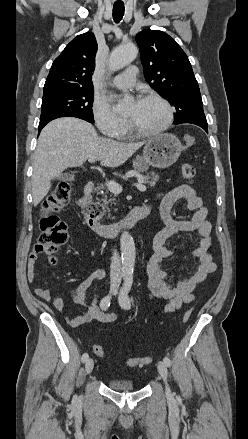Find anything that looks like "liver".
<instances>
[{"mask_svg": "<svg viewBox=\"0 0 248 439\" xmlns=\"http://www.w3.org/2000/svg\"><path fill=\"white\" fill-rule=\"evenodd\" d=\"M144 142H118L99 137L88 122L62 117L41 131L33 156L32 197L37 206L51 189V180L69 167H79L90 158L106 167H118Z\"/></svg>", "mask_w": 248, "mask_h": 439, "instance_id": "6515ba94", "label": "liver"}]
</instances>
